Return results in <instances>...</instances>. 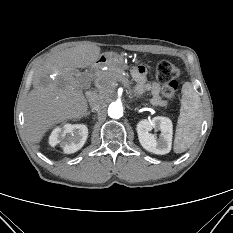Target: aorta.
Wrapping results in <instances>:
<instances>
[{
    "label": "aorta",
    "mask_w": 233,
    "mask_h": 233,
    "mask_svg": "<svg viewBox=\"0 0 233 233\" xmlns=\"http://www.w3.org/2000/svg\"><path fill=\"white\" fill-rule=\"evenodd\" d=\"M108 115L111 118L119 119L123 116V105L121 102L113 101L108 104Z\"/></svg>",
    "instance_id": "762f6f07"
}]
</instances>
